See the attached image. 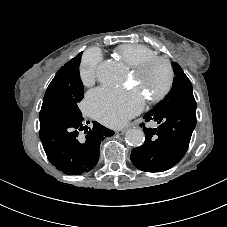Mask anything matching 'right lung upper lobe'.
<instances>
[{"instance_id":"1","label":"right lung upper lobe","mask_w":227,"mask_h":227,"mask_svg":"<svg viewBox=\"0 0 227 227\" xmlns=\"http://www.w3.org/2000/svg\"><path fill=\"white\" fill-rule=\"evenodd\" d=\"M77 59H78V55H77L75 58L71 59V60H70L68 63H66L65 65H67V64H69V63H72V62H75Z\"/></svg>"}]
</instances>
